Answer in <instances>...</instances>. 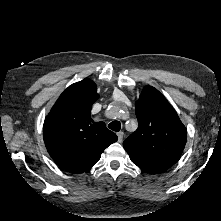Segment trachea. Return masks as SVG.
I'll return each instance as SVG.
<instances>
[{
	"label": "trachea",
	"instance_id": "trachea-1",
	"mask_svg": "<svg viewBox=\"0 0 221 221\" xmlns=\"http://www.w3.org/2000/svg\"><path fill=\"white\" fill-rule=\"evenodd\" d=\"M108 128L118 132L121 129V123L119 121H113L108 125Z\"/></svg>",
	"mask_w": 221,
	"mask_h": 221
}]
</instances>
